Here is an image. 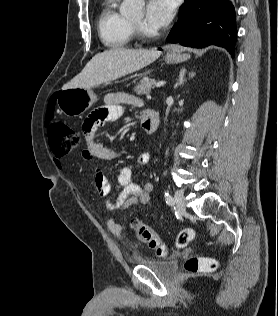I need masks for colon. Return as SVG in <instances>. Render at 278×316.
<instances>
[{
    "instance_id": "5ec220e1",
    "label": "colon",
    "mask_w": 278,
    "mask_h": 316,
    "mask_svg": "<svg viewBox=\"0 0 278 316\" xmlns=\"http://www.w3.org/2000/svg\"><path fill=\"white\" fill-rule=\"evenodd\" d=\"M48 138L50 148L57 157L73 152L81 143L80 134L61 121L54 122L49 126ZM131 226L137 237L153 249L158 256L163 257L166 255V245L147 224L139 219H133ZM194 235V231L190 228L181 230L176 239L177 247H185L194 238ZM184 267L187 272L192 274L208 272L217 268V262L211 258L194 256L186 261Z\"/></svg>"
}]
</instances>
